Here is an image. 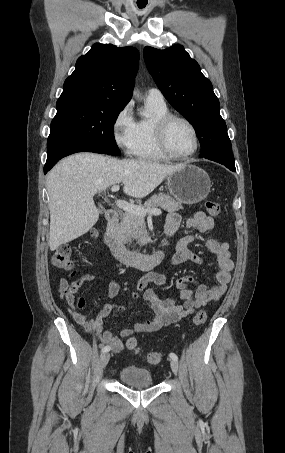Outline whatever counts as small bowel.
Here are the masks:
<instances>
[{
	"mask_svg": "<svg viewBox=\"0 0 285 453\" xmlns=\"http://www.w3.org/2000/svg\"><path fill=\"white\" fill-rule=\"evenodd\" d=\"M180 223L181 218L177 213L168 214L165 224L166 236H174L179 230ZM186 227L195 229L200 233H208L214 227V220L203 211H197L187 219ZM195 239V235L180 237L176 245V253L171 259L172 265L177 266L187 260L196 263L202 262V258L188 248V245ZM206 246L217 257L218 271L215 284L208 287L199 283L192 276H184L176 281V286L179 289L178 297L165 299H160L152 289H146L143 294V304L152 311V315L150 318L136 323L133 329H121L120 335L122 337L127 338L134 334L155 332L164 326L179 321L207 303L217 301L225 293L234 267L229 244L210 238L207 240ZM94 278L95 275L93 274H85L77 278L72 284L66 278H62L59 283V291L64 295L72 316L82 329L86 333H93L102 345L109 347L115 353H119L124 350L125 344L111 331L104 330L103 320L113 311L123 312L128 306H133L139 295L134 293L132 300L127 304L105 305L94 318H88L79 311L85 303L82 299L76 301V294L84 284ZM149 282L164 286L166 277L160 273H150L139 282L138 290H144ZM190 285H195V290H192ZM118 292L119 285L114 280H110L107 285L108 295L114 297Z\"/></svg>",
	"mask_w": 285,
	"mask_h": 453,
	"instance_id": "obj_1",
	"label": "small bowel"
}]
</instances>
